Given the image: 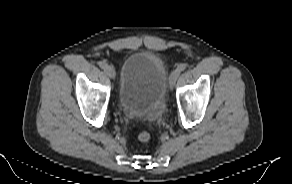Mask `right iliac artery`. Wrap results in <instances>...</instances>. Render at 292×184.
I'll list each match as a JSON object with an SVG mask.
<instances>
[{
  "instance_id": "82829eb1",
  "label": "right iliac artery",
  "mask_w": 292,
  "mask_h": 184,
  "mask_svg": "<svg viewBox=\"0 0 292 184\" xmlns=\"http://www.w3.org/2000/svg\"><path fill=\"white\" fill-rule=\"evenodd\" d=\"M98 65H99L101 68H103V69H105V68L108 66L107 63L104 62V61H100V62L98 63Z\"/></svg>"
}]
</instances>
